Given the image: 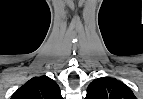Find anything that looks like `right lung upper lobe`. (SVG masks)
Here are the masks:
<instances>
[{
  "instance_id": "right-lung-upper-lobe-1",
  "label": "right lung upper lobe",
  "mask_w": 143,
  "mask_h": 99,
  "mask_svg": "<svg viewBox=\"0 0 143 99\" xmlns=\"http://www.w3.org/2000/svg\"><path fill=\"white\" fill-rule=\"evenodd\" d=\"M11 99H62L58 84L47 76L33 77Z\"/></svg>"
}]
</instances>
